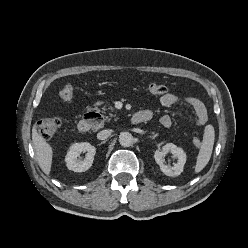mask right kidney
<instances>
[{"mask_svg": "<svg viewBox=\"0 0 248 248\" xmlns=\"http://www.w3.org/2000/svg\"><path fill=\"white\" fill-rule=\"evenodd\" d=\"M81 153H86L83 160L78 159ZM96 148L88 142L73 144L65 157L66 166L74 172H84L88 170L93 163Z\"/></svg>", "mask_w": 248, "mask_h": 248, "instance_id": "right-kidney-1", "label": "right kidney"}]
</instances>
